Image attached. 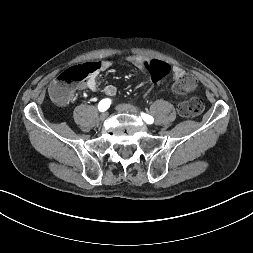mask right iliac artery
Returning <instances> with one entry per match:
<instances>
[{"label":"right iliac artery","instance_id":"82829eb1","mask_svg":"<svg viewBox=\"0 0 253 253\" xmlns=\"http://www.w3.org/2000/svg\"><path fill=\"white\" fill-rule=\"evenodd\" d=\"M110 104H111V100L108 98L101 100L98 104L99 111L101 112L106 111L110 107Z\"/></svg>","mask_w":253,"mask_h":253}]
</instances>
